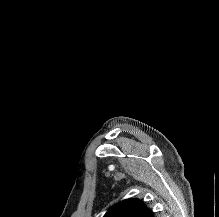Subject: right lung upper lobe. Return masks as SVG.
Masks as SVG:
<instances>
[{"label":"right lung upper lobe","mask_w":219,"mask_h":217,"mask_svg":"<svg viewBox=\"0 0 219 217\" xmlns=\"http://www.w3.org/2000/svg\"><path fill=\"white\" fill-rule=\"evenodd\" d=\"M104 217H154L151 210L138 199H127L107 211Z\"/></svg>","instance_id":"right-lung-upper-lobe-1"}]
</instances>
